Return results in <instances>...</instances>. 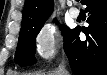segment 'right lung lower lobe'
<instances>
[{
    "label": "right lung lower lobe",
    "instance_id": "obj_1",
    "mask_svg": "<svg viewBox=\"0 0 107 75\" xmlns=\"http://www.w3.org/2000/svg\"><path fill=\"white\" fill-rule=\"evenodd\" d=\"M89 17L88 27H76L64 51L75 75H107V1L84 0ZM86 35L81 41L79 33Z\"/></svg>",
    "mask_w": 107,
    "mask_h": 75
}]
</instances>
